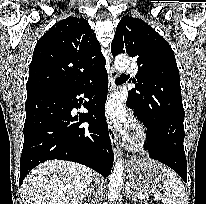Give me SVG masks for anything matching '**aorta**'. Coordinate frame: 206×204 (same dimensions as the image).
<instances>
[{
    "label": "aorta",
    "mask_w": 206,
    "mask_h": 204,
    "mask_svg": "<svg viewBox=\"0 0 206 204\" xmlns=\"http://www.w3.org/2000/svg\"><path fill=\"white\" fill-rule=\"evenodd\" d=\"M130 65V58L127 55H119L115 58L114 66L118 71H124ZM123 160L118 159L115 162L111 173L110 182L108 184V199L115 201L122 189L123 185Z\"/></svg>",
    "instance_id": "1"
}]
</instances>
